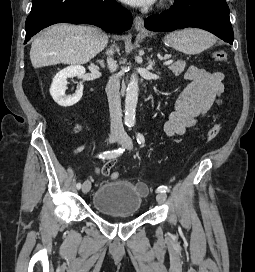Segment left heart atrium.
<instances>
[{
  "mask_svg": "<svg viewBox=\"0 0 255 272\" xmlns=\"http://www.w3.org/2000/svg\"><path fill=\"white\" fill-rule=\"evenodd\" d=\"M128 4H131L133 6H150L152 5L156 0H122Z\"/></svg>",
  "mask_w": 255,
  "mask_h": 272,
  "instance_id": "1",
  "label": "left heart atrium"
}]
</instances>
